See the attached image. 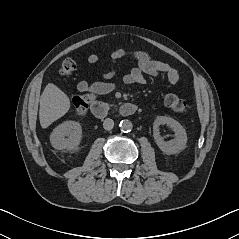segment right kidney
Listing matches in <instances>:
<instances>
[{
    "instance_id": "right-kidney-1",
    "label": "right kidney",
    "mask_w": 239,
    "mask_h": 239,
    "mask_svg": "<svg viewBox=\"0 0 239 239\" xmlns=\"http://www.w3.org/2000/svg\"><path fill=\"white\" fill-rule=\"evenodd\" d=\"M68 136V138H65ZM82 127L75 121H65L58 125L50 136V142L55 149H73L80 144Z\"/></svg>"
}]
</instances>
